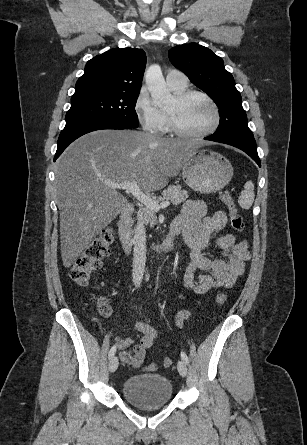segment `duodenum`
Here are the masks:
<instances>
[{
	"label": "duodenum",
	"mask_w": 307,
	"mask_h": 445,
	"mask_svg": "<svg viewBox=\"0 0 307 445\" xmlns=\"http://www.w3.org/2000/svg\"><path fill=\"white\" fill-rule=\"evenodd\" d=\"M133 206L131 204L126 205L119 218L118 222V233L120 241L125 248V250H130L132 247V215ZM178 232L174 228H170L167 237L161 244L152 245V250L155 253L163 254L172 250L174 242Z\"/></svg>",
	"instance_id": "duodenum-1"
}]
</instances>
